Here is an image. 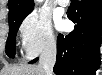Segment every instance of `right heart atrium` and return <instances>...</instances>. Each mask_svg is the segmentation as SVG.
Instances as JSON below:
<instances>
[{
  "mask_svg": "<svg viewBox=\"0 0 102 75\" xmlns=\"http://www.w3.org/2000/svg\"><path fill=\"white\" fill-rule=\"evenodd\" d=\"M21 50L28 59L34 58L45 50L56 46L51 21L40 12L28 14L19 26Z\"/></svg>",
  "mask_w": 102,
  "mask_h": 75,
  "instance_id": "1",
  "label": "right heart atrium"
}]
</instances>
